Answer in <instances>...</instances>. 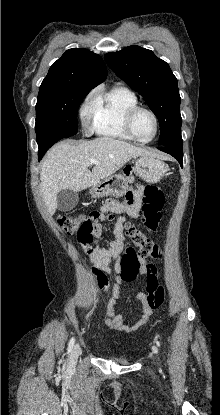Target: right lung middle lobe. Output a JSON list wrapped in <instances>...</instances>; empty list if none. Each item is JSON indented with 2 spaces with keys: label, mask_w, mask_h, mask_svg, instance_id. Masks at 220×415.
<instances>
[{
  "label": "right lung middle lobe",
  "mask_w": 220,
  "mask_h": 415,
  "mask_svg": "<svg viewBox=\"0 0 220 415\" xmlns=\"http://www.w3.org/2000/svg\"><path fill=\"white\" fill-rule=\"evenodd\" d=\"M90 90L65 86H40L35 131L40 148H50L77 133V111Z\"/></svg>",
  "instance_id": "1"
}]
</instances>
